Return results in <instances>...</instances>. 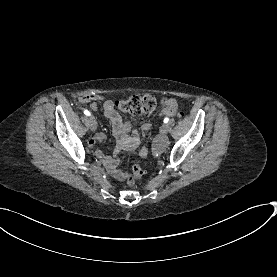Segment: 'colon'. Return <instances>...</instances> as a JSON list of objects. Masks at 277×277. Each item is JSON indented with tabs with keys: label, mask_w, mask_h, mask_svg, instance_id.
Segmentation results:
<instances>
[{
	"label": "colon",
	"mask_w": 277,
	"mask_h": 277,
	"mask_svg": "<svg viewBox=\"0 0 277 277\" xmlns=\"http://www.w3.org/2000/svg\"><path fill=\"white\" fill-rule=\"evenodd\" d=\"M123 113H130L135 116L152 113L157 108H163L165 101L153 95L132 96L129 99H118L115 101ZM141 176V169L137 166L133 168V174L128 176V184L134 185L136 179Z\"/></svg>",
	"instance_id": "1"
}]
</instances>
